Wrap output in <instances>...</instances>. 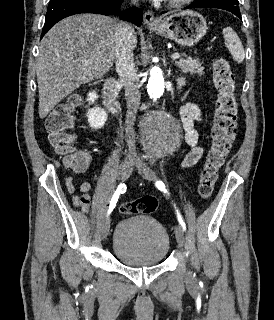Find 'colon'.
<instances>
[{"mask_svg":"<svg viewBox=\"0 0 274 320\" xmlns=\"http://www.w3.org/2000/svg\"><path fill=\"white\" fill-rule=\"evenodd\" d=\"M213 84L217 91L216 113L211 130V147L197 188L201 201H207L211 197L217 173L224 164L238 131V103L235 97L234 73L223 59L214 63ZM70 100L71 103L78 105V99ZM73 110L71 104L53 108L45 126L49 133V141L56 153L64 158L65 164L73 171L79 172L86 167V158L84 154L72 151L76 142V137L72 133L75 120ZM67 189L72 196H75L71 178L67 179ZM156 209V199L146 196L122 203L119 206V213L127 216L151 214Z\"/></svg>","mask_w":274,"mask_h":320,"instance_id":"colon-1","label":"colon"}]
</instances>
